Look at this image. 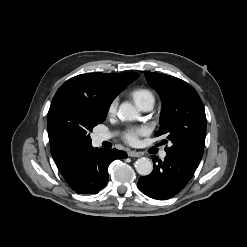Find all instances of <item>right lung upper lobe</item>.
<instances>
[{
    "label": "right lung upper lobe",
    "instance_id": "1",
    "mask_svg": "<svg viewBox=\"0 0 247 247\" xmlns=\"http://www.w3.org/2000/svg\"><path fill=\"white\" fill-rule=\"evenodd\" d=\"M139 74L128 73H87L67 80L56 92L48 112V136L50 151L57 165L61 167L73 154L86 148L65 138L56 128L52 113L55 105L64 100L89 103L97 108L109 107L114 98Z\"/></svg>",
    "mask_w": 247,
    "mask_h": 247
}]
</instances>
